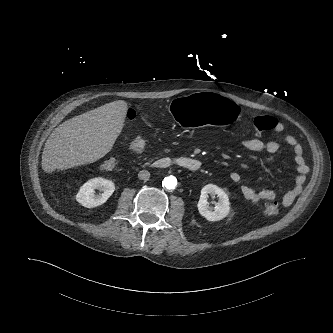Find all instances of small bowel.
Segmentation results:
<instances>
[{
	"label": "small bowel",
	"mask_w": 333,
	"mask_h": 333,
	"mask_svg": "<svg viewBox=\"0 0 333 333\" xmlns=\"http://www.w3.org/2000/svg\"><path fill=\"white\" fill-rule=\"evenodd\" d=\"M274 119V118H273ZM275 121L273 130L282 136L284 142L292 149L294 155V161L296 165L297 176L295 178V185L287 190L282 196V205L285 207L290 206L295 200L296 196L300 193L302 185L305 181L308 168L305 164L303 157V147L295 136L288 133L285 125L280 121ZM237 145L245 150L255 153H276L280 149V143L276 140L263 141L257 137L240 139ZM146 146V141L142 137H137L131 140L128 144L130 152L140 154L143 152ZM229 179L233 183H240L242 176L240 173L233 171L229 175ZM240 192L243 197L249 202L256 204L261 201L275 200L277 194L270 189H254L248 185H241Z\"/></svg>",
	"instance_id": "c3829d8e"
}]
</instances>
